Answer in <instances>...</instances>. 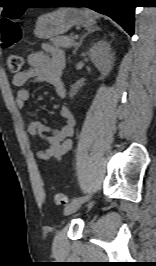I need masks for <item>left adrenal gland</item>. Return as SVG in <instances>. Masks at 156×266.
<instances>
[{"mask_svg":"<svg viewBox=\"0 0 156 266\" xmlns=\"http://www.w3.org/2000/svg\"><path fill=\"white\" fill-rule=\"evenodd\" d=\"M98 30H100L99 27H91V28H88V29H87V32L81 37L79 43H77V44L75 45V49H74V51H73V54L76 53V51H77L78 48L81 46L83 40L85 39V37H86L87 35H89L90 33L95 32V31H98Z\"/></svg>","mask_w":156,"mask_h":266,"instance_id":"obj_1","label":"left adrenal gland"}]
</instances>
